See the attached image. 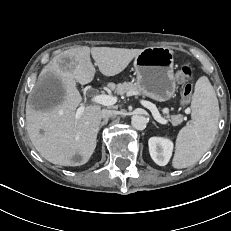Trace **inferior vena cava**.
I'll return each instance as SVG.
<instances>
[{
    "instance_id": "obj_1",
    "label": "inferior vena cava",
    "mask_w": 231,
    "mask_h": 231,
    "mask_svg": "<svg viewBox=\"0 0 231 231\" xmlns=\"http://www.w3.org/2000/svg\"><path fill=\"white\" fill-rule=\"evenodd\" d=\"M116 114H117V112L114 111V110L103 109L102 112H101V117L103 119H108V118H110V117H112V116H114Z\"/></svg>"
}]
</instances>
